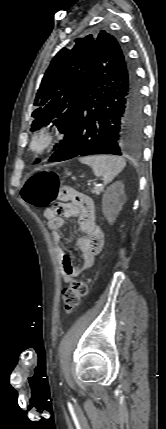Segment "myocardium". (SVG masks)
Listing matches in <instances>:
<instances>
[{
  "label": "myocardium",
  "mask_w": 166,
  "mask_h": 429,
  "mask_svg": "<svg viewBox=\"0 0 166 429\" xmlns=\"http://www.w3.org/2000/svg\"><path fill=\"white\" fill-rule=\"evenodd\" d=\"M57 136L58 132L54 126H43L31 134L28 150L34 155H42L54 145Z\"/></svg>",
  "instance_id": "1"
}]
</instances>
